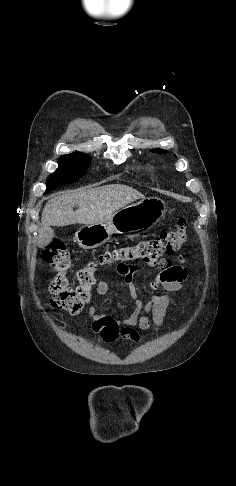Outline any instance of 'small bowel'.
<instances>
[{
	"instance_id": "obj_1",
	"label": "small bowel",
	"mask_w": 236,
	"mask_h": 486,
	"mask_svg": "<svg viewBox=\"0 0 236 486\" xmlns=\"http://www.w3.org/2000/svg\"><path fill=\"white\" fill-rule=\"evenodd\" d=\"M183 262V257H179ZM151 267L157 266L159 272L151 283V298L147 302L138 299L136 288L132 282L133 276L137 272L135 265H118V273L124 277L129 291V298L132 307L128 316L119 320L109 314H100L96 306H91L88 315L91 320L90 326L93 332L101 334L104 340L113 341L118 337L131 342L140 340V333L135 329L138 327L142 331L148 330L152 325L160 327L166 314L173 303L169 294H159L162 288L167 292H176L182 288V284L187 277V270L182 265H175L169 259L152 260L147 262ZM109 290V284L101 280L97 284L96 293L99 296L105 295Z\"/></svg>"
}]
</instances>
